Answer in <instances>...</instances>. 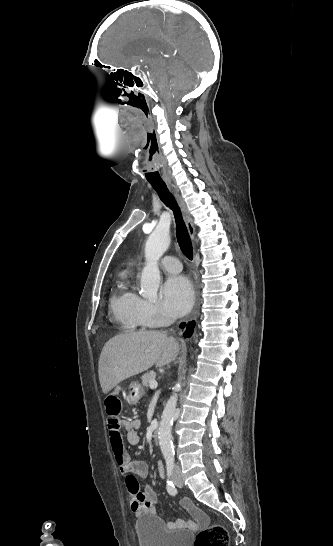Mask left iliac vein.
<instances>
[{"mask_svg": "<svg viewBox=\"0 0 333 546\" xmlns=\"http://www.w3.org/2000/svg\"><path fill=\"white\" fill-rule=\"evenodd\" d=\"M173 481L176 484V486L182 487L183 481H182V478H181V475H180L179 471H176L175 475L173 476Z\"/></svg>", "mask_w": 333, "mask_h": 546, "instance_id": "4c4485c4", "label": "left iliac vein"}]
</instances>
